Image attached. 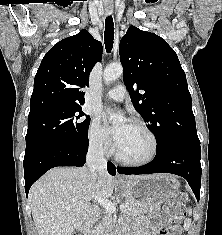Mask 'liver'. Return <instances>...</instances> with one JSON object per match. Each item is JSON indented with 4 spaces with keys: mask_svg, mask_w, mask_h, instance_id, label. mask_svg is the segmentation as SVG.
Here are the masks:
<instances>
[{
    "mask_svg": "<svg viewBox=\"0 0 222 235\" xmlns=\"http://www.w3.org/2000/svg\"><path fill=\"white\" fill-rule=\"evenodd\" d=\"M145 176H127L137 180ZM114 180L106 170L98 172L96 182L87 167H56L33 184L29 192L33 220L38 235H71L93 212L90 200L108 199Z\"/></svg>",
    "mask_w": 222,
    "mask_h": 235,
    "instance_id": "liver-1",
    "label": "liver"
}]
</instances>
